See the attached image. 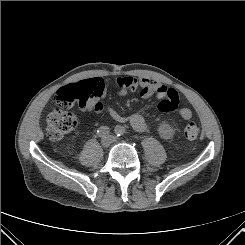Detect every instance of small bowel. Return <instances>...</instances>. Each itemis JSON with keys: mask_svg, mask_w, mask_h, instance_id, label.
I'll use <instances>...</instances> for the list:
<instances>
[{"mask_svg": "<svg viewBox=\"0 0 245 245\" xmlns=\"http://www.w3.org/2000/svg\"><path fill=\"white\" fill-rule=\"evenodd\" d=\"M90 80L96 82L98 86V95L88 101L84 106H81L82 109L89 113H100L106 109L114 120L121 123L128 122L136 131L143 132L148 129V122L142 112L124 116L117 112L111 105L102 101L106 95V86L102 78L96 77L91 78ZM116 85L117 94L119 96H125L129 92L134 91H138L143 99H148L153 95H157L158 98H160V102L157 105L159 111H177L178 115L185 120H189L193 115L189 108L178 107L179 98L174 88L165 86L158 81L150 80L146 77L123 76L117 78Z\"/></svg>", "mask_w": 245, "mask_h": 245, "instance_id": "small-bowel-1", "label": "small bowel"}]
</instances>
